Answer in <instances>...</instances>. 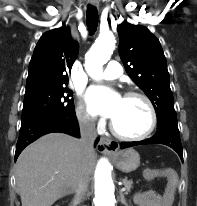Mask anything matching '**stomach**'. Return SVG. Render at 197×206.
I'll return each mask as SVG.
<instances>
[{
	"mask_svg": "<svg viewBox=\"0 0 197 206\" xmlns=\"http://www.w3.org/2000/svg\"><path fill=\"white\" fill-rule=\"evenodd\" d=\"M116 167L125 173L135 171L140 165V155L134 149L118 151L112 155Z\"/></svg>",
	"mask_w": 197,
	"mask_h": 206,
	"instance_id": "stomach-1",
	"label": "stomach"
}]
</instances>
